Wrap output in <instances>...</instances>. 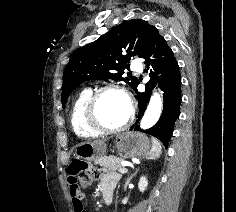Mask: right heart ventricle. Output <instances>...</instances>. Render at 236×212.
Instances as JSON below:
<instances>
[{
    "label": "right heart ventricle",
    "mask_w": 236,
    "mask_h": 212,
    "mask_svg": "<svg viewBox=\"0 0 236 212\" xmlns=\"http://www.w3.org/2000/svg\"><path fill=\"white\" fill-rule=\"evenodd\" d=\"M92 92V89L89 87L80 90L75 96L70 110V123L72 130L76 136L82 139L95 138L99 136V133L88 127L85 121V107Z\"/></svg>",
    "instance_id": "e07e8e85"
}]
</instances>
